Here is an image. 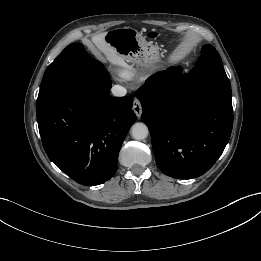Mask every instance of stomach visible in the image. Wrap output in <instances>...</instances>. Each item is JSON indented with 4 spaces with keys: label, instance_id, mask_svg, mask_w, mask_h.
<instances>
[{
    "label": "stomach",
    "instance_id": "stomach-1",
    "mask_svg": "<svg viewBox=\"0 0 261 261\" xmlns=\"http://www.w3.org/2000/svg\"><path fill=\"white\" fill-rule=\"evenodd\" d=\"M105 41L129 63L151 66L159 58L158 48L130 27L108 31Z\"/></svg>",
    "mask_w": 261,
    "mask_h": 261
}]
</instances>
